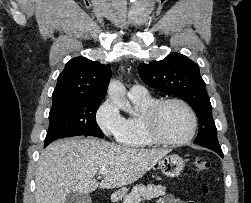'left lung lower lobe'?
Here are the masks:
<instances>
[{
	"label": "left lung lower lobe",
	"instance_id": "left-lung-lower-lobe-1",
	"mask_svg": "<svg viewBox=\"0 0 251 203\" xmlns=\"http://www.w3.org/2000/svg\"><path fill=\"white\" fill-rule=\"evenodd\" d=\"M211 150L215 151L223 158V152H222L221 148H212Z\"/></svg>",
	"mask_w": 251,
	"mask_h": 203
}]
</instances>
